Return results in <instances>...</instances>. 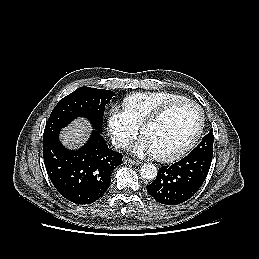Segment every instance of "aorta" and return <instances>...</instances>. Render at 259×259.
<instances>
[{"instance_id":"aorta-1","label":"aorta","mask_w":259,"mask_h":259,"mask_svg":"<svg viewBox=\"0 0 259 259\" xmlns=\"http://www.w3.org/2000/svg\"><path fill=\"white\" fill-rule=\"evenodd\" d=\"M139 171L141 177L146 180H152L157 176V168L152 163H144Z\"/></svg>"}]
</instances>
